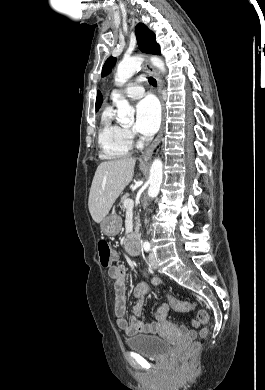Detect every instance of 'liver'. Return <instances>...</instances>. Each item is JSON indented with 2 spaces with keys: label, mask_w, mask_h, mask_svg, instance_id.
<instances>
[{
  "label": "liver",
  "mask_w": 265,
  "mask_h": 390,
  "mask_svg": "<svg viewBox=\"0 0 265 390\" xmlns=\"http://www.w3.org/2000/svg\"><path fill=\"white\" fill-rule=\"evenodd\" d=\"M136 159L121 158L101 162L96 169L89 193L88 207L92 219L100 223L131 182Z\"/></svg>",
  "instance_id": "obj_1"
}]
</instances>
